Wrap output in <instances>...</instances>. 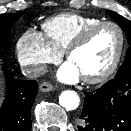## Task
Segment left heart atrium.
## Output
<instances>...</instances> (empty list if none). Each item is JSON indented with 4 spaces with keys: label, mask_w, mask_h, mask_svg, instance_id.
I'll return each instance as SVG.
<instances>
[{
    "label": "left heart atrium",
    "mask_w": 131,
    "mask_h": 131,
    "mask_svg": "<svg viewBox=\"0 0 131 131\" xmlns=\"http://www.w3.org/2000/svg\"><path fill=\"white\" fill-rule=\"evenodd\" d=\"M58 78L64 82H76L80 78V74L70 62H66L60 68Z\"/></svg>",
    "instance_id": "1"
}]
</instances>
